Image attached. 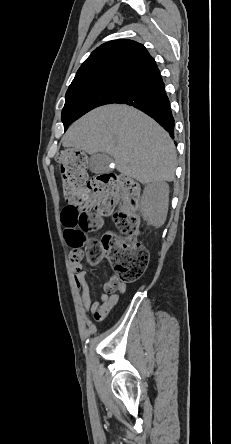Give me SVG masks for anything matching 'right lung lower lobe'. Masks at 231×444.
I'll return each mask as SVG.
<instances>
[{"label":"right lung lower lobe","mask_w":231,"mask_h":444,"mask_svg":"<svg viewBox=\"0 0 231 444\" xmlns=\"http://www.w3.org/2000/svg\"><path fill=\"white\" fill-rule=\"evenodd\" d=\"M114 103H124L140 109L174 138V118L161 76L133 87Z\"/></svg>","instance_id":"right-lung-lower-lobe-1"}]
</instances>
